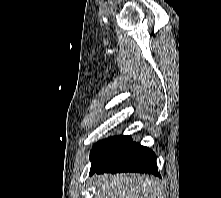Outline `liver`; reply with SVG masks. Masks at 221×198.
<instances>
[{"mask_svg": "<svg viewBox=\"0 0 221 198\" xmlns=\"http://www.w3.org/2000/svg\"><path fill=\"white\" fill-rule=\"evenodd\" d=\"M96 198H164L165 192L159 180L153 176L138 174L99 175Z\"/></svg>", "mask_w": 221, "mask_h": 198, "instance_id": "obj_1", "label": "liver"}]
</instances>
